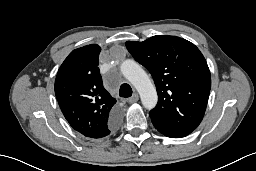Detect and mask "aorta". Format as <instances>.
I'll return each mask as SVG.
<instances>
[{"label":"aorta","mask_w":256,"mask_h":171,"mask_svg":"<svg viewBox=\"0 0 256 171\" xmlns=\"http://www.w3.org/2000/svg\"><path fill=\"white\" fill-rule=\"evenodd\" d=\"M123 76L138 91L143 106L151 110L158 101L156 89L147 73L133 60H125L120 66Z\"/></svg>","instance_id":"762f6f07"}]
</instances>
